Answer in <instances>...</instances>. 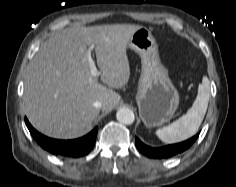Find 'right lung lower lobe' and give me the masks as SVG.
Wrapping results in <instances>:
<instances>
[{
    "label": "right lung lower lobe",
    "instance_id": "98d812e1",
    "mask_svg": "<svg viewBox=\"0 0 236 187\" xmlns=\"http://www.w3.org/2000/svg\"><path fill=\"white\" fill-rule=\"evenodd\" d=\"M25 122L31 135L43 149L55 155L73 158L87 155L92 150L98 131V127H95L90 133L79 139L56 140L40 134L27 119Z\"/></svg>",
    "mask_w": 236,
    "mask_h": 187
}]
</instances>
